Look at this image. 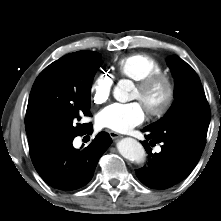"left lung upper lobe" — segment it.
<instances>
[{
    "label": "left lung upper lobe",
    "mask_w": 221,
    "mask_h": 221,
    "mask_svg": "<svg viewBox=\"0 0 221 221\" xmlns=\"http://www.w3.org/2000/svg\"><path fill=\"white\" fill-rule=\"evenodd\" d=\"M167 63L175 79V101L163 118L147 128L156 141L182 142L203 151L211 113L200 79L178 56H170Z\"/></svg>",
    "instance_id": "obj_1"
}]
</instances>
